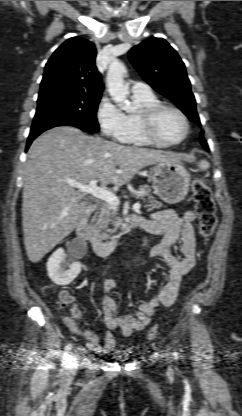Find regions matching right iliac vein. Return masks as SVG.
Wrapping results in <instances>:
<instances>
[{
    "label": "right iliac vein",
    "instance_id": "63e3f726",
    "mask_svg": "<svg viewBox=\"0 0 242 416\" xmlns=\"http://www.w3.org/2000/svg\"><path fill=\"white\" fill-rule=\"evenodd\" d=\"M75 359H76V355L72 354L71 355V362L69 363V368L71 371H73L75 369Z\"/></svg>",
    "mask_w": 242,
    "mask_h": 416
}]
</instances>
